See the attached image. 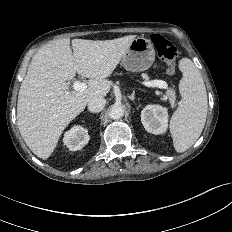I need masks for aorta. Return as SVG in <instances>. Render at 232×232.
Returning a JSON list of instances; mask_svg holds the SVG:
<instances>
[{
  "mask_svg": "<svg viewBox=\"0 0 232 232\" xmlns=\"http://www.w3.org/2000/svg\"><path fill=\"white\" fill-rule=\"evenodd\" d=\"M124 115V109L121 105L114 104L109 109V116L113 120H119Z\"/></svg>",
  "mask_w": 232,
  "mask_h": 232,
  "instance_id": "762f6f07",
  "label": "aorta"
}]
</instances>
